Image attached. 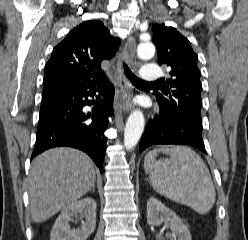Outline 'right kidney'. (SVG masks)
Masks as SVG:
<instances>
[{
  "mask_svg": "<svg viewBox=\"0 0 248 240\" xmlns=\"http://www.w3.org/2000/svg\"><path fill=\"white\" fill-rule=\"evenodd\" d=\"M96 207V201L91 197L75 201L65 207L54 223L50 240H86L95 230ZM78 214L85 218V221H82L80 228L71 229L69 222Z\"/></svg>",
  "mask_w": 248,
  "mask_h": 240,
  "instance_id": "obj_1",
  "label": "right kidney"
}]
</instances>
